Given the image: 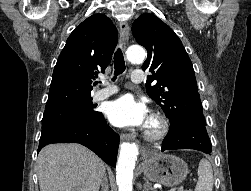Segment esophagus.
<instances>
[{"label": "esophagus", "instance_id": "esophagus-1", "mask_svg": "<svg viewBox=\"0 0 251 191\" xmlns=\"http://www.w3.org/2000/svg\"><path fill=\"white\" fill-rule=\"evenodd\" d=\"M120 40L123 49H125L129 40V25L126 21L120 22ZM134 138V134L130 133H123L121 135V140L123 142L132 141Z\"/></svg>", "mask_w": 251, "mask_h": 191}]
</instances>
